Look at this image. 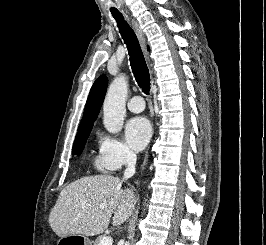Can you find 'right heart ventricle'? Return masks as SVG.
Here are the masks:
<instances>
[{
	"instance_id": "obj_1",
	"label": "right heart ventricle",
	"mask_w": 266,
	"mask_h": 245,
	"mask_svg": "<svg viewBox=\"0 0 266 245\" xmlns=\"http://www.w3.org/2000/svg\"><path fill=\"white\" fill-rule=\"evenodd\" d=\"M95 165H96L97 167L101 168V165H103V164L101 163L100 158H99V160H97V161L95 162Z\"/></svg>"
}]
</instances>
